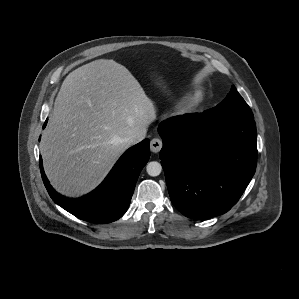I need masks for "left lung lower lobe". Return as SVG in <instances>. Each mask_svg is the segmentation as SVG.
Instances as JSON below:
<instances>
[{"label":"left lung lower lobe","mask_w":299,"mask_h":299,"mask_svg":"<svg viewBox=\"0 0 299 299\" xmlns=\"http://www.w3.org/2000/svg\"><path fill=\"white\" fill-rule=\"evenodd\" d=\"M161 164L172 204L202 220L229 211L257 165L254 119L220 121L185 114L162 121Z\"/></svg>","instance_id":"obj_1"}]
</instances>
